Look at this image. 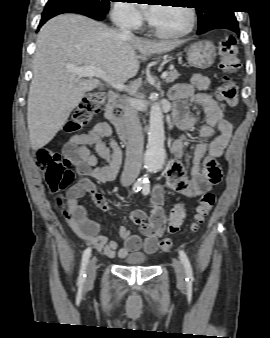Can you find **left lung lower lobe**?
<instances>
[{
  "label": "left lung lower lobe",
  "mask_w": 270,
  "mask_h": 338,
  "mask_svg": "<svg viewBox=\"0 0 270 338\" xmlns=\"http://www.w3.org/2000/svg\"><path fill=\"white\" fill-rule=\"evenodd\" d=\"M215 28L229 29V30L236 32L239 35L238 22L235 17L226 18L225 20L215 24L212 27V29H215Z\"/></svg>",
  "instance_id": "1"
}]
</instances>
